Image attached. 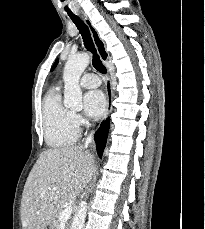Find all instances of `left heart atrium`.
I'll return each mask as SVG.
<instances>
[{
	"label": "left heart atrium",
	"instance_id": "1",
	"mask_svg": "<svg viewBox=\"0 0 205 229\" xmlns=\"http://www.w3.org/2000/svg\"><path fill=\"white\" fill-rule=\"evenodd\" d=\"M105 95L99 90H92L84 96V109L88 116L98 118L106 109Z\"/></svg>",
	"mask_w": 205,
	"mask_h": 229
}]
</instances>
